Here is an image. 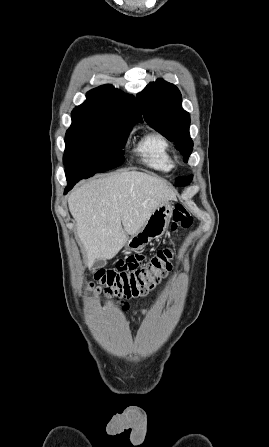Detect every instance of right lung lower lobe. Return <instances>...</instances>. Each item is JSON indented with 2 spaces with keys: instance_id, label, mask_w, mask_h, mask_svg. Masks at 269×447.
I'll return each instance as SVG.
<instances>
[{
  "instance_id": "obj_1",
  "label": "right lung lower lobe",
  "mask_w": 269,
  "mask_h": 447,
  "mask_svg": "<svg viewBox=\"0 0 269 447\" xmlns=\"http://www.w3.org/2000/svg\"><path fill=\"white\" fill-rule=\"evenodd\" d=\"M66 172V178L69 184V187L65 189V194L75 185V183H77L80 179L84 178L86 175L87 176H92L95 173H87L86 175H81L79 173V169L75 168L71 171L65 170Z\"/></svg>"
}]
</instances>
